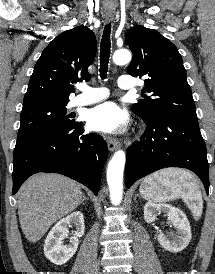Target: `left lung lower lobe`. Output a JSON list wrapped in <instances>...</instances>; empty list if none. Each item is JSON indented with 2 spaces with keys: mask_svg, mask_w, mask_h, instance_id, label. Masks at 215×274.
Masks as SVG:
<instances>
[{
  "mask_svg": "<svg viewBox=\"0 0 215 274\" xmlns=\"http://www.w3.org/2000/svg\"><path fill=\"white\" fill-rule=\"evenodd\" d=\"M143 120L145 134L127 149L126 187L159 169L182 167L196 173L208 193L206 146L198 121L172 115Z\"/></svg>",
  "mask_w": 215,
  "mask_h": 274,
  "instance_id": "1",
  "label": "left lung lower lobe"
}]
</instances>
